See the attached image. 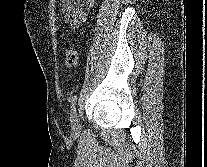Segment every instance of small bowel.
<instances>
[{"mask_svg": "<svg viewBox=\"0 0 207 167\" xmlns=\"http://www.w3.org/2000/svg\"><path fill=\"white\" fill-rule=\"evenodd\" d=\"M96 0H61V12L71 27L80 26L92 10Z\"/></svg>", "mask_w": 207, "mask_h": 167, "instance_id": "obj_1", "label": "small bowel"}]
</instances>
